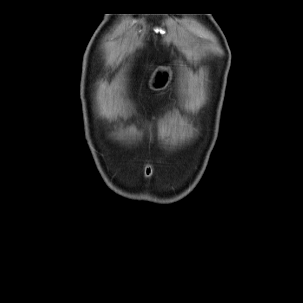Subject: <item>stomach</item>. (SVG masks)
<instances>
[{"instance_id":"1","label":"stomach","mask_w":303,"mask_h":303,"mask_svg":"<svg viewBox=\"0 0 303 303\" xmlns=\"http://www.w3.org/2000/svg\"><path fill=\"white\" fill-rule=\"evenodd\" d=\"M172 76V71L169 67L161 68L157 70L151 81L150 86L154 89H164L170 82Z\"/></svg>"}]
</instances>
